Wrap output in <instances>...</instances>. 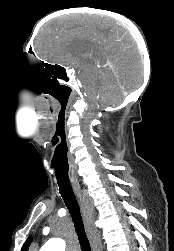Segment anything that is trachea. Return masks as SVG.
Instances as JSON below:
<instances>
[{
  "instance_id": "trachea-1",
  "label": "trachea",
  "mask_w": 174,
  "mask_h": 251,
  "mask_svg": "<svg viewBox=\"0 0 174 251\" xmlns=\"http://www.w3.org/2000/svg\"><path fill=\"white\" fill-rule=\"evenodd\" d=\"M58 185L60 194L72 217L74 227L81 245V249L82 251H91L90 243L84 229L80 208L77 199L74 195L72 186L70 183L60 181H58Z\"/></svg>"
}]
</instances>
